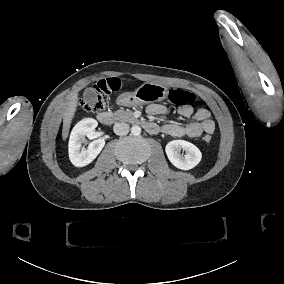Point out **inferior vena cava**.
Returning a JSON list of instances; mask_svg holds the SVG:
<instances>
[{
    "mask_svg": "<svg viewBox=\"0 0 284 284\" xmlns=\"http://www.w3.org/2000/svg\"><path fill=\"white\" fill-rule=\"evenodd\" d=\"M113 131L116 135L124 136L129 132V125L122 122H117L113 126Z\"/></svg>",
    "mask_w": 284,
    "mask_h": 284,
    "instance_id": "inferior-vena-cava-1",
    "label": "inferior vena cava"
}]
</instances>
